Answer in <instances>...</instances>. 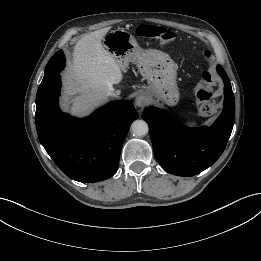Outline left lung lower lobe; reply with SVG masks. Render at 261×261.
Segmentation results:
<instances>
[{"label":"left lung lower lobe","instance_id":"obj_1","mask_svg":"<svg viewBox=\"0 0 261 261\" xmlns=\"http://www.w3.org/2000/svg\"><path fill=\"white\" fill-rule=\"evenodd\" d=\"M223 78L224 109L210 127L189 128L167 111L147 107L142 118L148 123L154 154L161 167L178 176H192L213 165L224 151L235 119V100L227 74L217 66Z\"/></svg>","mask_w":261,"mask_h":261}]
</instances>
